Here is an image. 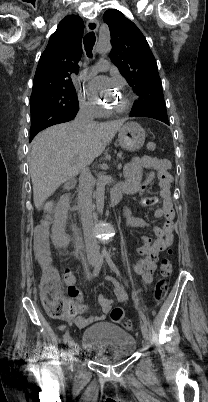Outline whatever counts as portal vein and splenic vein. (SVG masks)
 <instances>
[{
    "mask_svg": "<svg viewBox=\"0 0 208 402\" xmlns=\"http://www.w3.org/2000/svg\"><path fill=\"white\" fill-rule=\"evenodd\" d=\"M116 157H117L118 160H121V159H122V156H121L120 153H117V154H116Z\"/></svg>",
    "mask_w": 208,
    "mask_h": 402,
    "instance_id": "1",
    "label": "portal vein and splenic vein"
}]
</instances>
